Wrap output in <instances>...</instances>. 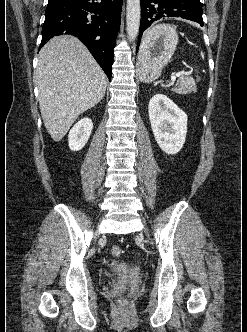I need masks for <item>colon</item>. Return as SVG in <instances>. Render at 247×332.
Masks as SVG:
<instances>
[{"label": "colon", "mask_w": 247, "mask_h": 332, "mask_svg": "<svg viewBox=\"0 0 247 332\" xmlns=\"http://www.w3.org/2000/svg\"><path fill=\"white\" fill-rule=\"evenodd\" d=\"M122 253H123V250H122V248L119 245L112 246V248H111V254L114 257H120L122 255Z\"/></svg>", "instance_id": "5ec220e1"}]
</instances>
